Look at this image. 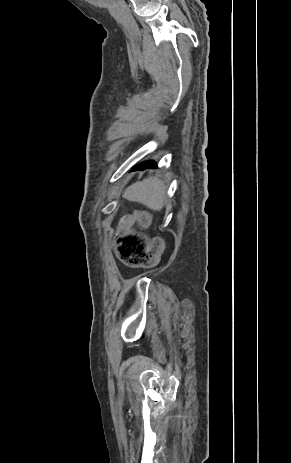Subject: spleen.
Here are the masks:
<instances>
[{
    "mask_svg": "<svg viewBox=\"0 0 291 463\" xmlns=\"http://www.w3.org/2000/svg\"><path fill=\"white\" fill-rule=\"evenodd\" d=\"M123 197L129 201L144 204L149 209L160 211L166 200V185L157 176L148 177L129 186L123 193Z\"/></svg>",
    "mask_w": 291,
    "mask_h": 463,
    "instance_id": "1",
    "label": "spleen"
}]
</instances>
